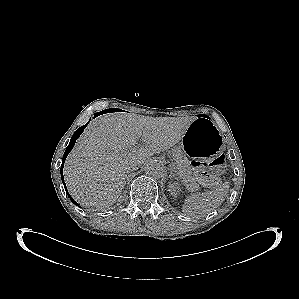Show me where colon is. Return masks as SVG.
Instances as JSON below:
<instances>
[{
	"instance_id": "1",
	"label": "colon",
	"mask_w": 299,
	"mask_h": 299,
	"mask_svg": "<svg viewBox=\"0 0 299 299\" xmlns=\"http://www.w3.org/2000/svg\"><path fill=\"white\" fill-rule=\"evenodd\" d=\"M192 167L196 177L205 184H214L220 173L226 166V158L224 155L216 156L209 162L192 161Z\"/></svg>"
}]
</instances>
